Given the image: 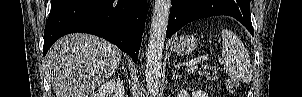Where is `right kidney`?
Masks as SVG:
<instances>
[{
	"instance_id": "1",
	"label": "right kidney",
	"mask_w": 302,
	"mask_h": 97,
	"mask_svg": "<svg viewBox=\"0 0 302 97\" xmlns=\"http://www.w3.org/2000/svg\"><path fill=\"white\" fill-rule=\"evenodd\" d=\"M110 92H115L117 97H124L123 81L112 79L103 84L91 97H107Z\"/></svg>"
}]
</instances>
